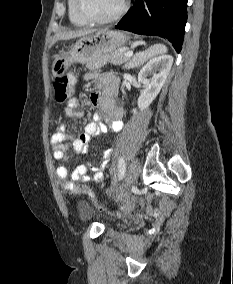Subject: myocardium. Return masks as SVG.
I'll list each match as a JSON object with an SVG mask.
<instances>
[{
  "label": "myocardium",
  "instance_id": "myocardium-1",
  "mask_svg": "<svg viewBox=\"0 0 233 284\" xmlns=\"http://www.w3.org/2000/svg\"><path fill=\"white\" fill-rule=\"evenodd\" d=\"M128 6H129L128 0H123L122 6L114 15L107 18H96L91 16L87 12L85 8V0H77V12L80 15V17L84 19L87 23L96 24V25L108 24L118 20L127 11Z\"/></svg>",
  "mask_w": 233,
  "mask_h": 284
}]
</instances>
